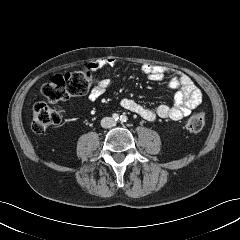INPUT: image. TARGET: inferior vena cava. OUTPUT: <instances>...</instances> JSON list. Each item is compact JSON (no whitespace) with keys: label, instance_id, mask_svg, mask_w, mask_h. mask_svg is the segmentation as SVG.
<instances>
[{"label":"inferior vena cava","instance_id":"1","mask_svg":"<svg viewBox=\"0 0 240 240\" xmlns=\"http://www.w3.org/2000/svg\"><path fill=\"white\" fill-rule=\"evenodd\" d=\"M101 126L103 128H111V127L115 126V121L111 117H104L101 120Z\"/></svg>","mask_w":240,"mask_h":240}]
</instances>
